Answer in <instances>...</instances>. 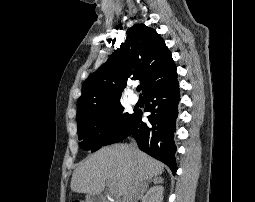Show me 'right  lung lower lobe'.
I'll list each match as a JSON object with an SVG mask.
<instances>
[{"instance_id":"obj_1","label":"right lung lower lobe","mask_w":255,"mask_h":202,"mask_svg":"<svg viewBox=\"0 0 255 202\" xmlns=\"http://www.w3.org/2000/svg\"><path fill=\"white\" fill-rule=\"evenodd\" d=\"M179 84L177 78L144 94L145 111L151 112L149 123L142 122V111L134 112L132 124L125 138L134 136L139 148L165 163L175 174V120L178 115Z\"/></svg>"}]
</instances>
